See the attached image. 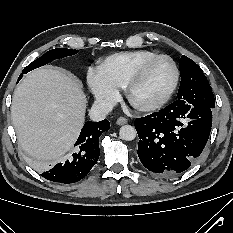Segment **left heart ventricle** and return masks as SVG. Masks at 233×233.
I'll use <instances>...</instances> for the list:
<instances>
[{
  "instance_id": "obj_1",
  "label": "left heart ventricle",
  "mask_w": 233,
  "mask_h": 233,
  "mask_svg": "<svg viewBox=\"0 0 233 233\" xmlns=\"http://www.w3.org/2000/svg\"><path fill=\"white\" fill-rule=\"evenodd\" d=\"M174 76L172 64L167 59L152 62L130 93L136 105H147L157 101L169 88Z\"/></svg>"
}]
</instances>
